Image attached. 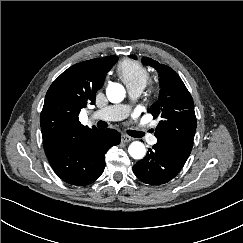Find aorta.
Listing matches in <instances>:
<instances>
[{
    "mask_svg": "<svg viewBox=\"0 0 243 243\" xmlns=\"http://www.w3.org/2000/svg\"><path fill=\"white\" fill-rule=\"evenodd\" d=\"M107 98L112 103H119L125 97V89L119 83H110L106 90ZM130 156L134 159H142L145 156L146 149L142 142L134 141L128 147Z\"/></svg>",
    "mask_w": 243,
    "mask_h": 243,
    "instance_id": "obj_1",
    "label": "aorta"
}]
</instances>
